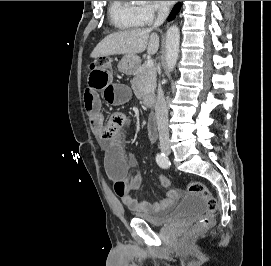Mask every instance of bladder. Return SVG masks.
Instances as JSON below:
<instances>
[{
  "mask_svg": "<svg viewBox=\"0 0 271 266\" xmlns=\"http://www.w3.org/2000/svg\"><path fill=\"white\" fill-rule=\"evenodd\" d=\"M205 209L203 199L196 193H188L184 196L181 203L174 207L170 212L162 216H148L140 213H135L134 217L141 219L153 226H162L170 222L182 220L188 216L202 213Z\"/></svg>",
  "mask_w": 271,
  "mask_h": 266,
  "instance_id": "obj_1",
  "label": "bladder"
}]
</instances>
